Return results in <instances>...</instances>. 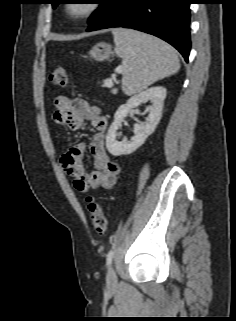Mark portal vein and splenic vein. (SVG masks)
Wrapping results in <instances>:
<instances>
[{
    "label": "portal vein and splenic vein",
    "instance_id": "portal-vein-and-splenic-vein-1",
    "mask_svg": "<svg viewBox=\"0 0 236 321\" xmlns=\"http://www.w3.org/2000/svg\"><path fill=\"white\" fill-rule=\"evenodd\" d=\"M108 87L112 86V81L111 80H107L105 83Z\"/></svg>",
    "mask_w": 236,
    "mask_h": 321
}]
</instances>
